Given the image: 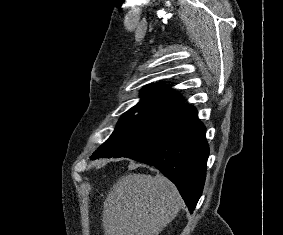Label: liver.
<instances>
[{"instance_id":"obj_1","label":"liver","mask_w":283,"mask_h":235,"mask_svg":"<svg viewBox=\"0 0 283 235\" xmlns=\"http://www.w3.org/2000/svg\"><path fill=\"white\" fill-rule=\"evenodd\" d=\"M181 197L162 175L122 176L103 206L104 235H159L177 216Z\"/></svg>"}]
</instances>
